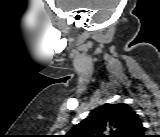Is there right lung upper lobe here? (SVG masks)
<instances>
[{
  "label": "right lung upper lobe",
  "instance_id": "obj_1",
  "mask_svg": "<svg viewBox=\"0 0 160 137\" xmlns=\"http://www.w3.org/2000/svg\"><path fill=\"white\" fill-rule=\"evenodd\" d=\"M144 127L127 104H106L69 132L73 137H140Z\"/></svg>",
  "mask_w": 160,
  "mask_h": 137
}]
</instances>
